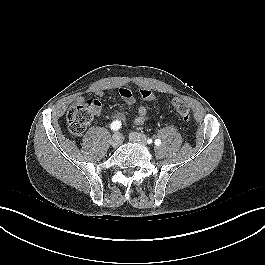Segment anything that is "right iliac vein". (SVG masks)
<instances>
[{"label":"right iliac vein","mask_w":265,"mask_h":265,"mask_svg":"<svg viewBox=\"0 0 265 265\" xmlns=\"http://www.w3.org/2000/svg\"><path fill=\"white\" fill-rule=\"evenodd\" d=\"M123 137L120 133H115L110 141L113 148H117L121 145Z\"/></svg>","instance_id":"obj_1"}]
</instances>
